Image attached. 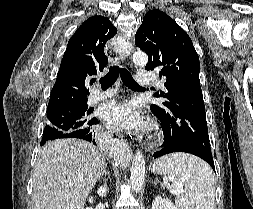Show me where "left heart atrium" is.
<instances>
[{"mask_svg":"<svg viewBox=\"0 0 253 209\" xmlns=\"http://www.w3.org/2000/svg\"><path fill=\"white\" fill-rule=\"evenodd\" d=\"M102 118L108 124L133 132L144 130L149 125L133 101L107 105L103 109Z\"/></svg>","mask_w":253,"mask_h":209,"instance_id":"left-heart-atrium-1","label":"left heart atrium"}]
</instances>
